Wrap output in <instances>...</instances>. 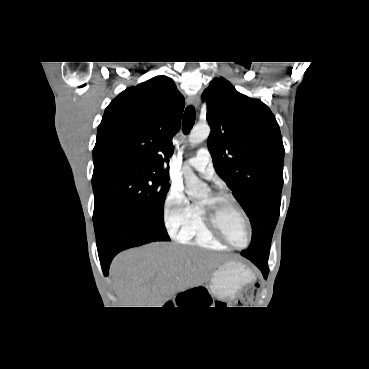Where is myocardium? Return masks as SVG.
Listing matches in <instances>:
<instances>
[{
  "instance_id": "obj_1",
  "label": "myocardium",
  "mask_w": 369,
  "mask_h": 369,
  "mask_svg": "<svg viewBox=\"0 0 369 369\" xmlns=\"http://www.w3.org/2000/svg\"><path fill=\"white\" fill-rule=\"evenodd\" d=\"M223 203H229L231 205H233L242 215L246 227H247V233H248V237H247V242L243 245V246H237L235 244H233L225 235V233L223 232L220 223H219V207L221 204ZM200 209L202 211V215H203V219L205 222V225L207 227V229L211 232V234L217 239L219 240L221 243H223L224 245L232 248V249H236V250H243L246 249L252 241V236H253V230H252V225L249 219L248 214L246 213V211L244 210V208L237 202V200L227 194V193H223V192H216V193H212L210 195V203L207 206H203L200 205Z\"/></svg>"
}]
</instances>
